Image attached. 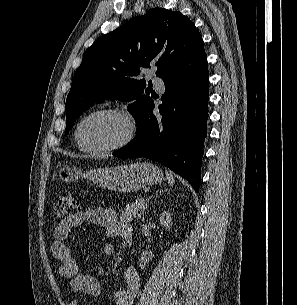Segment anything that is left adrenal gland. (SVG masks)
Masks as SVG:
<instances>
[{
	"instance_id": "1",
	"label": "left adrenal gland",
	"mask_w": 297,
	"mask_h": 305,
	"mask_svg": "<svg viewBox=\"0 0 297 305\" xmlns=\"http://www.w3.org/2000/svg\"><path fill=\"white\" fill-rule=\"evenodd\" d=\"M164 191H166V190H161L160 192H156L155 194L151 195V196L146 200L145 206L143 207L142 212L139 214L138 219L141 218V215L144 213L145 209L148 207L149 201H150L153 197L157 196L158 194L163 193Z\"/></svg>"
}]
</instances>
